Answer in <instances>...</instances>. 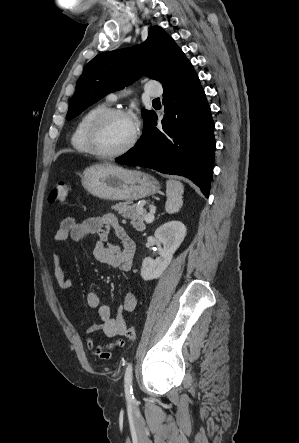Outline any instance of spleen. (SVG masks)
<instances>
[{"instance_id": "1", "label": "spleen", "mask_w": 299, "mask_h": 443, "mask_svg": "<svg viewBox=\"0 0 299 443\" xmlns=\"http://www.w3.org/2000/svg\"><path fill=\"white\" fill-rule=\"evenodd\" d=\"M184 186L181 182L175 180H168L166 182L167 201L165 209L169 214L176 213L183 205L182 195Z\"/></svg>"}]
</instances>
